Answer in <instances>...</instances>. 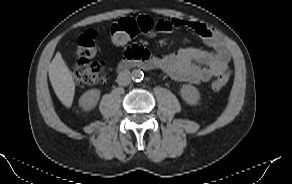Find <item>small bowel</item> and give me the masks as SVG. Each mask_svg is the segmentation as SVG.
Here are the masks:
<instances>
[{
    "label": "small bowel",
    "mask_w": 292,
    "mask_h": 184,
    "mask_svg": "<svg viewBox=\"0 0 292 184\" xmlns=\"http://www.w3.org/2000/svg\"><path fill=\"white\" fill-rule=\"evenodd\" d=\"M158 33H170L185 27L196 33L210 50L182 48L175 53L157 56L159 67L173 79L189 83L207 82L225 73L230 52L223 39L211 27L196 21L176 17L155 20Z\"/></svg>",
    "instance_id": "obj_1"
}]
</instances>
